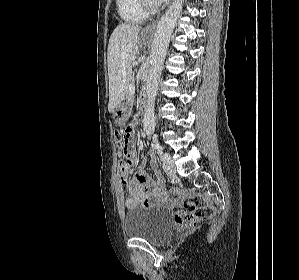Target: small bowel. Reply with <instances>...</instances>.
Masks as SVG:
<instances>
[{"label":"small bowel","instance_id":"c3829d8e","mask_svg":"<svg viewBox=\"0 0 299 280\" xmlns=\"http://www.w3.org/2000/svg\"><path fill=\"white\" fill-rule=\"evenodd\" d=\"M132 147V146H131ZM133 158L136 162V153L132 147ZM151 167L156 173L157 178L153 179L145 170H138L134 177L127 182V194L124 197V205L128 209L152 206L178 205L181 201L179 196L170 198L165 184L159 175V169L155 160L151 161Z\"/></svg>","mask_w":299,"mask_h":280}]
</instances>
